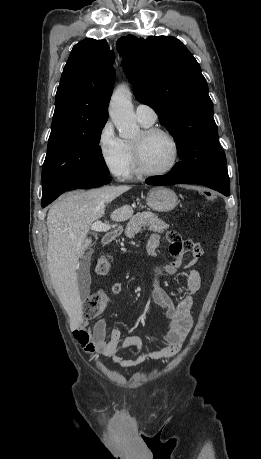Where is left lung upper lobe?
<instances>
[{
	"label": "left lung upper lobe",
	"mask_w": 261,
	"mask_h": 459,
	"mask_svg": "<svg viewBox=\"0 0 261 459\" xmlns=\"http://www.w3.org/2000/svg\"><path fill=\"white\" fill-rule=\"evenodd\" d=\"M117 43L136 99L155 110L178 145L182 161L173 169L188 175L226 166L207 82L185 45L168 36H130Z\"/></svg>",
	"instance_id": "obj_1"
}]
</instances>
